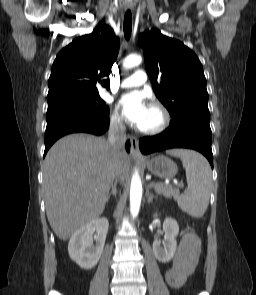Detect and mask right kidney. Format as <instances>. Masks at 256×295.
<instances>
[{
    "label": "right kidney",
    "mask_w": 256,
    "mask_h": 295,
    "mask_svg": "<svg viewBox=\"0 0 256 295\" xmlns=\"http://www.w3.org/2000/svg\"><path fill=\"white\" fill-rule=\"evenodd\" d=\"M108 227L107 218H96L79 228L70 238L69 256L81 268L89 270L98 263L103 252ZM95 231L97 235L93 239Z\"/></svg>",
    "instance_id": "right-kidney-1"
}]
</instances>
